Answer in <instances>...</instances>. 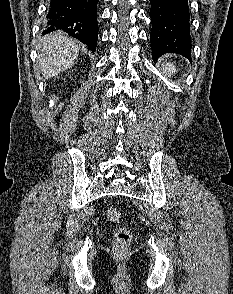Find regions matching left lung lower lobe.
Returning a JSON list of instances; mask_svg holds the SVG:
<instances>
[{
    "instance_id": "1",
    "label": "left lung lower lobe",
    "mask_w": 233,
    "mask_h": 294,
    "mask_svg": "<svg viewBox=\"0 0 233 294\" xmlns=\"http://www.w3.org/2000/svg\"><path fill=\"white\" fill-rule=\"evenodd\" d=\"M152 57L165 53L191 54L188 0H150Z\"/></svg>"
}]
</instances>
